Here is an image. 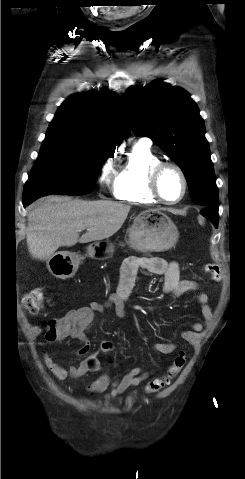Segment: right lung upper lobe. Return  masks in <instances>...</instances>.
Instances as JSON below:
<instances>
[{
	"label": "right lung upper lobe",
	"mask_w": 245,
	"mask_h": 479,
	"mask_svg": "<svg viewBox=\"0 0 245 479\" xmlns=\"http://www.w3.org/2000/svg\"><path fill=\"white\" fill-rule=\"evenodd\" d=\"M130 127L120 98L103 90L72 95L62 103L47 134L78 139L88 145L115 150Z\"/></svg>",
	"instance_id": "right-lung-upper-lobe-1"
}]
</instances>
